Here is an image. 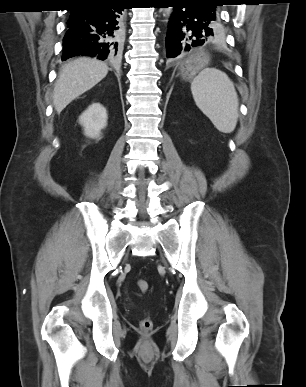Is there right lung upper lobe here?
Listing matches in <instances>:
<instances>
[{
	"instance_id": "obj_1",
	"label": "right lung upper lobe",
	"mask_w": 306,
	"mask_h": 387,
	"mask_svg": "<svg viewBox=\"0 0 306 387\" xmlns=\"http://www.w3.org/2000/svg\"><path fill=\"white\" fill-rule=\"evenodd\" d=\"M74 4H96L106 0H72ZM72 21L69 19L67 25H70Z\"/></svg>"
}]
</instances>
